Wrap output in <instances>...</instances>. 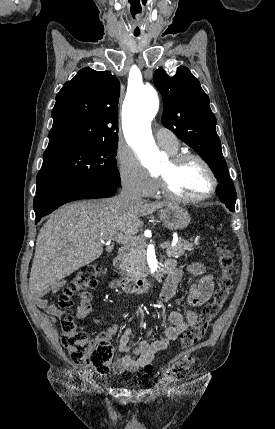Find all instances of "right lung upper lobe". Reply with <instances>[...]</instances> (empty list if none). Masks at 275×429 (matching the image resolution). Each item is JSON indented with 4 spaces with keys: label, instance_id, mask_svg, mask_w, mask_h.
Instances as JSON below:
<instances>
[{
    "label": "right lung upper lobe",
    "instance_id": "obj_1",
    "mask_svg": "<svg viewBox=\"0 0 275 429\" xmlns=\"http://www.w3.org/2000/svg\"><path fill=\"white\" fill-rule=\"evenodd\" d=\"M119 80L108 71L81 69L56 96L46 151L118 141Z\"/></svg>",
    "mask_w": 275,
    "mask_h": 429
}]
</instances>
